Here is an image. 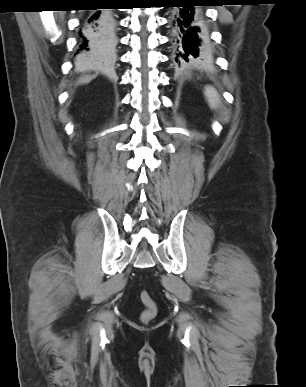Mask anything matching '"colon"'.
Masks as SVG:
<instances>
[{
  "instance_id": "colon-1",
  "label": "colon",
  "mask_w": 306,
  "mask_h": 387,
  "mask_svg": "<svg viewBox=\"0 0 306 387\" xmlns=\"http://www.w3.org/2000/svg\"><path fill=\"white\" fill-rule=\"evenodd\" d=\"M140 299L145 307V309L141 313V321L144 323H148L155 318L157 314V306L146 290H143L140 293Z\"/></svg>"
}]
</instances>
